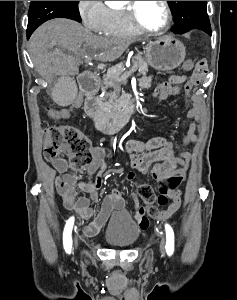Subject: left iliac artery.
I'll use <instances>...</instances> for the list:
<instances>
[{
	"label": "left iliac artery",
	"mask_w": 237,
	"mask_h": 300,
	"mask_svg": "<svg viewBox=\"0 0 237 300\" xmlns=\"http://www.w3.org/2000/svg\"><path fill=\"white\" fill-rule=\"evenodd\" d=\"M166 230V245L165 249L169 256H171L174 252V232L170 225H165Z\"/></svg>",
	"instance_id": "44dca946"
}]
</instances>
